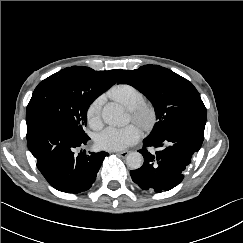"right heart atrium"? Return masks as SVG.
I'll return each instance as SVG.
<instances>
[{"instance_id": "obj_1", "label": "right heart atrium", "mask_w": 243, "mask_h": 243, "mask_svg": "<svg viewBox=\"0 0 243 243\" xmlns=\"http://www.w3.org/2000/svg\"><path fill=\"white\" fill-rule=\"evenodd\" d=\"M102 105H103V98L97 97L89 104L87 108V112H86L87 122L90 125V127L93 129H98L101 127Z\"/></svg>"}]
</instances>
